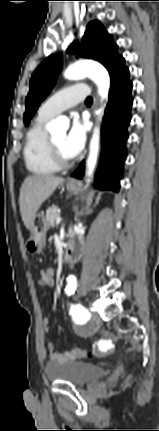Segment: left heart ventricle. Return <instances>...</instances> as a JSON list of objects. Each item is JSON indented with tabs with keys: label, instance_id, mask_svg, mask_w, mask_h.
I'll list each match as a JSON object with an SVG mask.
<instances>
[{
	"label": "left heart ventricle",
	"instance_id": "left-heart-ventricle-1",
	"mask_svg": "<svg viewBox=\"0 0 159 431\" xmlns=\"http://www.w3.org/2000/svg\"><path fill=\"white\" fill-rule=\"evenodd\" d=\"M65 137H66V133L65 132H60L57 134H54L52 136L53 141L55 142V144L58 146V148L60 149L61 153L66 157V158H72L65 150L64 148V141H65Z\"/></svg>",
	"mask_w": 159,
	"mask_h": 431
}]
</instances>
